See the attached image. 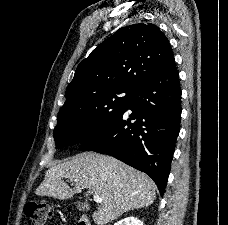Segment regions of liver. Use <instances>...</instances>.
<instances>
[{
  "label": "liver",
  "mask_w": 228,
  "mask_h": 225,
  "mask_svg": "<svg viewBox=\"0 0 228 225\" xmlns=\"http://www.w3.org/2000/svg\"><path fill=\"white\" fill-rule=\"evenodd\" d=\"M62 179H70L74 189ZM82 189L102 199L98 211L92 215L96 225H107L123 213L149 207L156 199V187L145 173L97 153H81L72 161L52 165L36 189V195L71 199Z\"/></svg>",
  "instance_id": "6515ba94"
}]
</instances>
